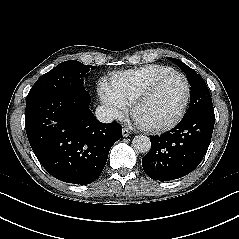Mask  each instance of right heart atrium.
<instances>
[{
	"label": "right heart atrium",
	"instance_id": "obj_1",
	"mask_svg": "<svg viewBox=\"0 0 239 239\" xmlns=\"http://www.w3.org/2000/svg\"><path fill=\"white\" fill-rule=\"evenodd\" d=\"M98 93L107 114L114 119H122L128 113V104L115 92L111 84L101 81Z\"/></svg>",
	"mask_w": 239,
	"mask_h": 239
}]
</instances>
